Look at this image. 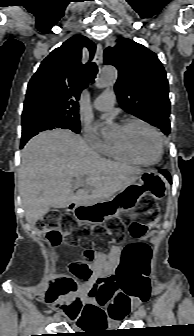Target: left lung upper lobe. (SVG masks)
I'll use <instances>...</instances> for the list:
<instances>
[{"label":"left lung upper lobe","instance_id":"left-lung-upper-lobe-1","mask_svg":"<svg viewBox=\"0 0 194 336\" xmlns=\"http://www.w3.org/2000/svg\"><path fill=\"white\" fill-rule=\"evenodd\" d=\"M104 63L118 69L114 86L121 107L170 133V100L166 72L157 55L141 44L120 38L104 51Z\"/></svg>","mask_w":194,"mask_h":336}]
</instances>
